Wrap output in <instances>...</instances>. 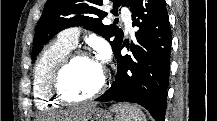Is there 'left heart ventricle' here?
<instances>
[{"mask_svg": "<svg viewBox=\"0 0 217 121\" xmlns=\"http://www.w3.org/2000/svg\"><path fill=\"white\" fill-rule=\"evenodd\" d=\"M103 66L92 58L78 59L63 75L64 92L74 98L91 94L100 84Z\"/></svg>", "mask_w": 217, "mask_h": 121, "instance_id": "1", "label": "left heart ventricle"}]
</instances>
